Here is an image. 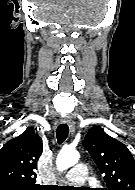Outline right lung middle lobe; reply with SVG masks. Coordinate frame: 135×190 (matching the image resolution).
Returning a JSON list of instances; mask_svg holds the SVG:
<instances>
[{
  "label": "right lung middle lobe",
  "instance_id": "obj_1",
  "mask_svg": "<svg viewBox=\"0 0 135 190\" xmlns=\"http://www.w3.org/2000/svg\"><path fill=\"white\" fill-rule=\"evenodd\" d=\"M0 190H39L37 188H18L14 186H1Z\"/></svg>",
  "mask_w": 135,
  "mask_h": 190
}]
</instances>
